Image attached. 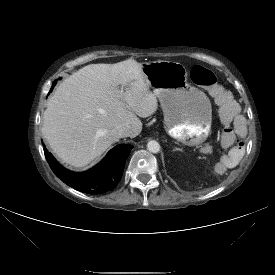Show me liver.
I'll use <instances>...</instances> for the list:
<instances>
[{
  "label": "liver",
  "instance_id": "6515ba94",
  "mask_svg": "<svg viewBox=\"0 0 275 275\" xmlns=\"http://www.w3.org/2000/svg\"><path fill=\"white\" fill-rule=\"evenodd\" d=\"M157 109L141 63L91 64L56 88L44 112L42 133L63 163L82 169L116 141L112 129L126 126L134 138L142 131L138 116L149 117Z\"/></svg>",
  "mask_w": 275,
  "mask_h": 275
}]
</instances>
